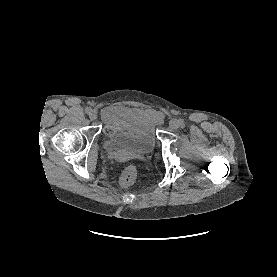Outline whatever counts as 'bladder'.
I'll return each mask as SVG.
<instances>
[{
  "label": "bladder",
  "instance_id": "bladder-1",
  "mask_svg": "<svg viewBox=\"0 0 277 277\" xmlns=\"http://www.w3.org/2000/svg\"><path fill=\"white\" fill-rule=\"evenodd\" d=\"M105 147L112 153L148 154L156 145V121L150 113L119 107L105 118Z\"/></svg>",
  "mask_w": 277,
  "mask_h": 277
}]
</instances>
